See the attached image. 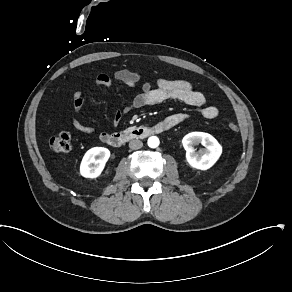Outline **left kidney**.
<instances>
[{
  "label": "left kidney",
  "mask_w": 292,
  "mask_h": 292,
  "mask_svg": "<svg viewBox=\"0 0 292 292\" xmlns=\"http://www.w3.org/2000/svg\"><path fill=\"white\" fill-rule=\"evenodd\" d=\"M201 143L205 148L196 152L194 146ZM186 150L188 163L197 169L207 170L214 165L222 153V147L210 134L204 132H191L182 140Z\"/></svg>",
  "instance_id": "1"
}]
</instances>
